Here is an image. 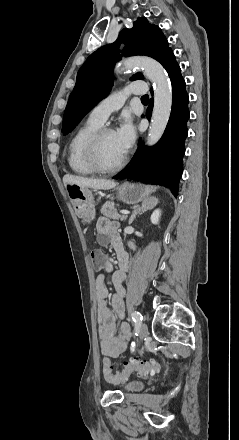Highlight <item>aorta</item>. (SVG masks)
<instances>
[{"instance_id":"1","label":"aorta","mask_w":239,"mask_h":440,"mask_svg":"<svg viewBox=\"0 0 239 440\" xmlns=\"http://www.w3.org/2000/svg\"><path fill=\"white\" fill-rule=\"evenodd\" d=\"M132 68H143L145 76H147L153 84H156L154 90V108L147 138L148 146H153V144H156L161 136H163L169 120L172 106V88L161 64L156 62V60L143 58V56L128 58V60L122 62L121 66H117L116 72H124V70H132Z\"/></svg>"}]
</instances>
